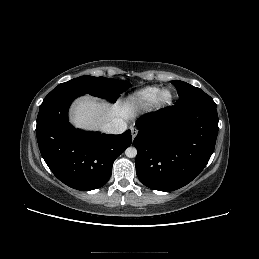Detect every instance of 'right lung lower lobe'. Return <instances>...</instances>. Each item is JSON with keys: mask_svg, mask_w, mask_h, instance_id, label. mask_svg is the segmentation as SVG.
Listing matches in <instances>:
<instances>
[{"mask_svg": "<svg viewBox=\"0 0 259 259\" xmlns=\"http://www.w3.org/2000/svg\"><path fill=\"white\" fill-rule=\"evenodd\" d=\"M77 94L64 93L43 101L37 116L39 149L53 174L71 188L90 191L105 185L115 159L132 143L131 131L120 135L76 130L68 109Z\"/></svg>", "mask_w": 259, "mask_h": 259, "instance_id": "1", "label": "right lung lower lobe"}]
</instances>
